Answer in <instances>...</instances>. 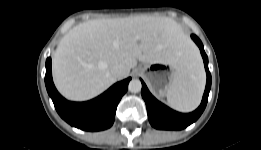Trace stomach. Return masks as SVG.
<instances>
[{
  "label": "stomach",
  "instance_id": "stomach-1",
  "mask_svg": "<svg viewBox=\"0 0 261 150\" xmlns=\"http://www.w3.org/2000/svg\"><path fill=\"white\" fill-rule=\"evenodd\" d=\"M139 70L151 90L158 96H164L178 74L173 66L164 63H143Z\"/></svg>",
  "mask_w": 261,
  "mask_h": 150
}]
</instances>
